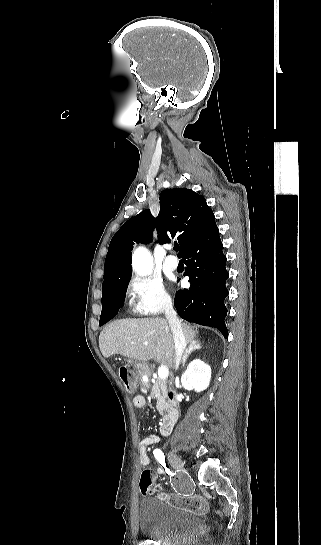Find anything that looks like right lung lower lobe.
Here are the masks:
<instances>
[{
    "label": "right lung lower lobe",
    "mask_w": 321,
    "mask_h": 545,
    "mask_svg": "<svg viewBox=\"0 0 321 545\" xmlns=\"http://www.w3.org/2000/svg\"><path fill=\"white\" fill-rule=\"evenodd\" d=\"M217 226L188 247L183 255L187 265L185 276H189V289L178 291L174 305L179 316L189 322L217 328L225 338L228 336L224 319L228 296L225 286L229 274L225 268L226 256ZM124 295H113L104 306L105 323L111 320L122 307Z\"/></svg>",
    "instance_id": "98d812e1"
}]
</instances>
